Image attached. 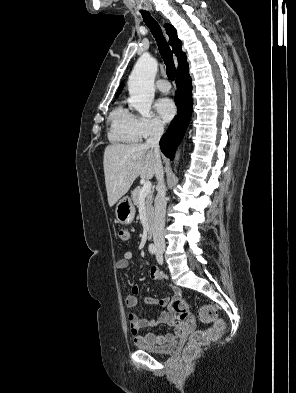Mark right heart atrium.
<instances>
[{
    "instance_id": "obj_1",
    "label": "right heart atrium",
    "mask_w": 296,
    "mask_h": 393,
    "mask_svg": "<svg viewBox=\"0 0 296 393\" xmlns=\"http://www.w3.org/2000/svg\"><path fill=\"white\" fill-rule=\"evenodd\" d=\"M136 128L140 139H147L160 135L164 125L156 116H137Z\"/></svg>"
}]
</instances>
